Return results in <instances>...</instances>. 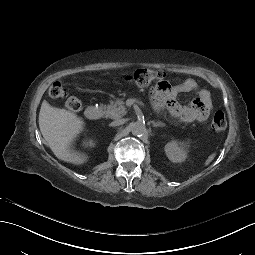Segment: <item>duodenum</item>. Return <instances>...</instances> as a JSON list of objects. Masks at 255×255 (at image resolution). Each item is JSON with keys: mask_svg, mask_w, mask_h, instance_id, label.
I'll return each mask as SVG.
<instances>
[{"mask_svg": "<svg viewBox=\"0 0 255 255\" xmlns=\"http://www.w3.org/2000/svg\"><path fill=\"white\" fill-rule=\"evenodd\" d=\"M103 110L100 107L90 106L85 110V116L89 120H98L102 117Z\"/></svg>", "mask_w": 255, "mask_h": 255, "instance_id": "obj_1", "label": "duodenum"}]
</instances>
